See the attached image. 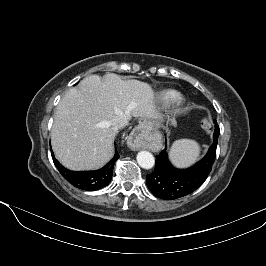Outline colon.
<instances>
[{
    "instance_id": "1",
    "label": "colon",
    "mask_w": 266,
    "mask_h": 266,
    "mask_svg": "<svg viewBox=\"0 0 266 266\" xmlns=\"http://www.w3.org/2000/svg\"><path fill=\"white\" fill-rule=\"evenodd\" d=\"M201 125H202V128L205 130V131H210V129H211V125H210V123H209V121H207V120H203L202 121V123H201Z\"/></svg>"
}]
</instances>
